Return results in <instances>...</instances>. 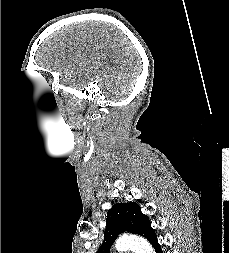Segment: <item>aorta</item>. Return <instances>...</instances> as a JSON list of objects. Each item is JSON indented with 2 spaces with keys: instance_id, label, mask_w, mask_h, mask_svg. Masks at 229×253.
Masks as SVG:
<instances>
[{
  "instance_id": "obj_1",
  "label": "aorta",
  "mask_w": 229,
  "mask_h": 253,
  "mask_svg": "<svg viewBox=\"0 0 229 253\" xmlns=\"http://www.w3.org/2000/svg\"><path fill=\"white\" fill-rule=\"evenodd\" d=\"M115 248L119 252L132 250L135 253H155L153 247L147 240L137 236H127L116 241Z\"/></svg>"
}]
</instances>
